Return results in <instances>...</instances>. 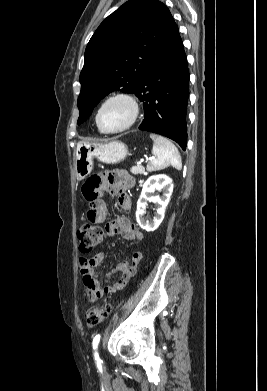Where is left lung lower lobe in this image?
<instances>
[{"label":"left lung lower lobe","instance_id":"0a47b994","mask_svg":"<svg viewBox=\"0 0 267 391\" xmlns=\"http://www.w3.org/2000/svg\"><path fill=\"white\" fill-rule=\"evenodd\" d=\"M134 94L145 112L139 129L164 135L185 150L189 70L178 31L152 60Z\"/></svg>","mask_w":267,"mask_h":391}]
</instances>
